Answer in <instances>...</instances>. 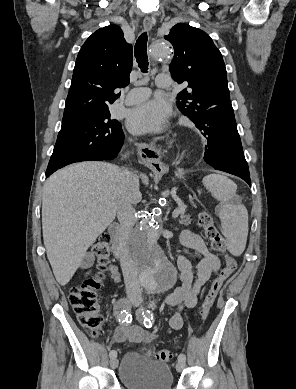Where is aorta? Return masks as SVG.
I'll list each match as a JSON object with an SVG mask.
<instances>
[{"mask_svg": "<svg viewBox=\"0 0 296 389\" xmlns=\"http://www.w3.org/2000/svg\"><path fill=\"white\" fill-rule=\"evenodd\" d=\"M149 59L150 62H171L172 52L168 43H155L150 49ZM159 238V223L146 214L129 239V251L138 270L139 282L145 290L153 293L170 289L176 277V270L166 257Z\"/></svg>", "mask_w": 296, "mask_h": 389, "instance_id": "obj_1", "label": "aorta"}]
</instances>
